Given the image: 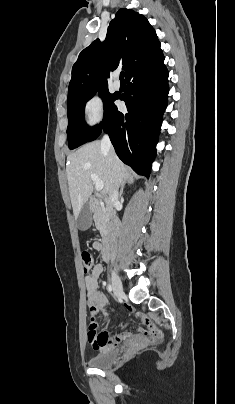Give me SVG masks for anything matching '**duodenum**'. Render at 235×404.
<instances>
[{
	"label": "duodenum",
	"instance_id": "410a0bca",
	"mask_svg": "<svg viewBox=\"0 0 235 404\" xmlns=\"http://www.w3.org/2000/svg\"><path fill=\"white\" fill-rule=\"evenodd\" d=\"M93 207H97L99 205L98 200L92 201ZM115 222H113V227L110 231H108L104 236H103V250L105 252L104 258L105 260H109L110 258V251L112 250L114 244H115Z\"/></svg>",
	"mask_w": 235,
	"mask_h": 404
}]
</instances>
